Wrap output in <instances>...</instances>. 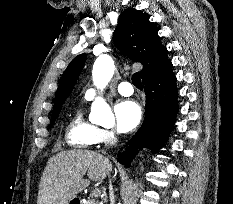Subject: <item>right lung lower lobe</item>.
<instances>
[{
    "label": "right lung lower lobe",
    "instance_id": "98d812e1",
    "mask_svg": "<svg viewBox=\"0 0 233 204\" xmlns=\"http://www.w3.org/2000/svg\"><path fill=\"white\" fill-rule=\"evenodd\" d=\"M142 82L146 94L145 119L129 141L126 152L118 155V161L127 167H130L132 159L140 149L148 147L155 152L164 144L175 123L178 110L176 77L171 63L144 76Z\"/></svg>",
    "mask_w": 233,
    "mask_h": 204
}]
</instances>
